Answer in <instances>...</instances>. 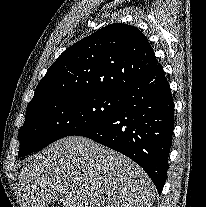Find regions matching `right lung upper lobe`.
<instances>
[{
	"instance_id": "1",
	"label": "right lung upper lobe",
	"mask_w": 206,
	"mask_h": 207,
	"mask_svg": "<svg viewBox=\"0 0 206 207\" xmlns=\"http://www.w3.org/2000/svg\"><path fill=\"white\" fill-rule=\"evenodd\" d=\"M158 65L145 35L127 24H111L65 50L38 83L28 108L48 99L122 94Z\"/></svg>"
}]
</instances>
